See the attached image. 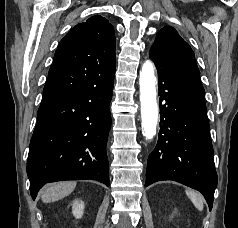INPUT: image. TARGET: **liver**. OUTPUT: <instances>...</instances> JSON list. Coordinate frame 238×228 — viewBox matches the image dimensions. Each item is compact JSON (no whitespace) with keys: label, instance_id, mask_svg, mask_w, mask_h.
Listing matches in <instances>:
<instances>
[{"label":"liver","instance_id":"6515ba94","mask_svg":"<svg viewBox=\"0 0 238 228\" xmlns=\"http://www.w3.org/2000/svg\"><path fill=\"white\" fill-rule=\"evenodd\" d=\"M76 182H59L46 185L41 192V199L44 203H51L63 199L72 193Z\"/></svg>","mask_w":238,"mask_h":228}]
</instances>
